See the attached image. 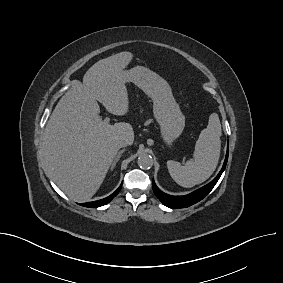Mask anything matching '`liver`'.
<instances>
[{
	"label": "liver",
	"mask_w": 283,
	"mask_h": 283,
	"mask_svg": "<svg viewBox=\"0 0 283 283\" xmlns=\"http://www.w3.org/2000/svg\"><path fill=\"white\" fill-rule=\"evenodd\" d=\"M133 54L121 52L99 60L83 83L73 81L53 110L43 134L48 172L73 201L89 200L101 186L118 152V141H134L129 123L106 124L99 117V101L113 115L129 109L124 68Z\"/></svg>",
	"instance_id": "1"
}]
</instances>
